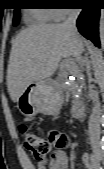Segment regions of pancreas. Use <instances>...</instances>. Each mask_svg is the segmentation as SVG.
Returning <instances> with one entry per match:
<instances>
[{
  "mask_svg": "<svg viewBox=\"0 0 104 169\" xmlns=\"http://www.w3.org/2000/svg\"><path fill=\"white\" fill-rule=\"evenodd\" d=\"M69 73V70L67 69V68H65V69H63L62 70V76L64 77V78H66L67 77V74ZM81 73H80V71H79V69H78V67H77V72H76V74L75 75H80ZM77 92L76 91H74V94H76ZM80 94V93H79ZM80 99H81V97H79V98H74V103H78L79 101H80Z\"/></svg>",
  "mask_w": 104,
  "mask_h": 169,
  "instance_id": "cf45deb5",
  "label": "pancreas"
}]
</instances>
